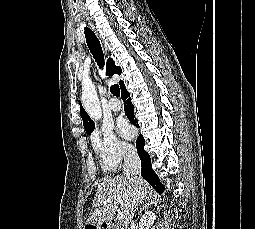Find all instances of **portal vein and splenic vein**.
I'll use <instances>...</instances> for the list:
<instances>
[{
  "mask_svg": "<svg viewBox=\"0 0 255 229\" xmlns=\"http://www.w3.org/2000/svg\"><path fill=\"white\" fill-rule=\"evenodd\" d=\"M113 198H114V199H120L118 196H114ZM111 200H112V198H109V199H107V202H110ZM117 219H118V220H123V219H124V214H123V212L118 211Z\"/></svg>",
  "mask_w": 255,
  "mask_h": 229,
  "instance_id": "18ae733b",
  "label": "portal vein and splenic vein"
}]
</instances>
